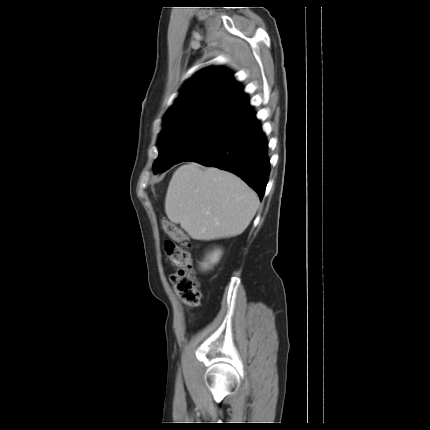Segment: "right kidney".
Returning <instances> with one entry per match:
<instances>
[{
    "label": "right kidney",
    "instance_id": "1",
    "mask_svg": "<svg viewBox=\"0 0 430 430\" xmlns=\"http://www.w3.org/2000/svg\"><path fill=\"white\" fill-rule=\"evenodd\" d=\"M221 257V251L220 250H214L210 255L207 256V261H204L201 263V268L204 270H207L210 268L211 265H214L218 263Z\"/></svg>",
    "mask_w": 430,
    "mask_h": 430
}]
</instances>
